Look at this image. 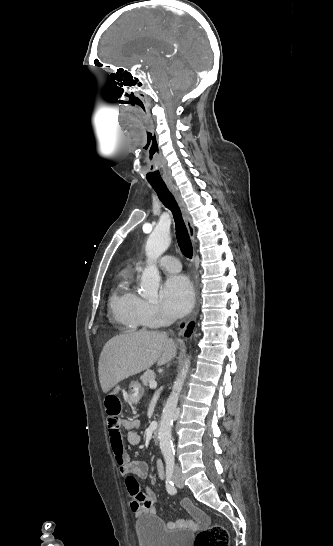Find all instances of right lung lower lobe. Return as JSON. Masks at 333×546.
<instances>
[{"mask_svg":"<svg viewBox=\"0 0 333 546\" xmlns=\"http://www.w3.org/2000/svg\"><path fill=\"white\" fill-rule=\"evenodd\" d=\"M184 326V324H182V327ZM193 328H194V322H190L189 325L187 326V330H186V336H190L192 331H193Z\"/></svg>","mask_w":333,"mask_h":546,"instance_id":"98d812e1","label":"right lung lower lobe"}]
</instances>
